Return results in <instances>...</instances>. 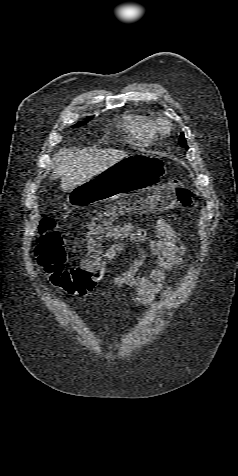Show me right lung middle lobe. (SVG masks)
<instances>
[{"mask_svg": "<svg viewBox=\"0 0 238 476\" xmlns=\"http://www.w3.org/2000/svg\"><path fill=\"white\" fill-rule=\"evenodd\" d=\"M92 117H88V120L91 119ZM87 122V121H86ZM84 122H78L77 124H75L74 126H80V125H83Z\"/></svg>", "mask_w": 238, "mask_h": 476, "instance_id": "1", "label": "right lung middle lobe"}]
</instances>
